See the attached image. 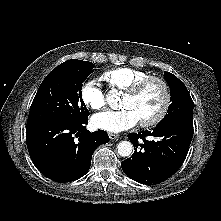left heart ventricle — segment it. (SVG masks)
I'll list each match as a JSON object with an SVG mask.
<instances>
[{"label":"left heart ventricle","mask_w":221,"mask_h":221,"mask_svg":"<svg viewBox=\"0 0 221 221\" xmlns=\"http://www.w3.org/2000/svg\"><path fill=\"white\" fill-rule=\"evenodd\" d=\"M163 100L162 86L157 82H152L137 97L125 95L121 107L133 110L142 121L152 118L160 110Z\"/></svg>","instance_id":"b2bd125f"}]
</instances>
